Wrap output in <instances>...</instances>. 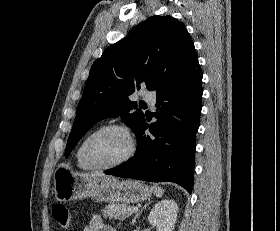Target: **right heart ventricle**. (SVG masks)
Instances as JSON below:
<instances>
[{
	"label": "right heart ventricle",
	"instance_id": "e07e8e85",
	"mask_svg": "<svg viewBox=\"0 0 280 231\" xmlns=\"http://www.w3.org/2000/svg\"><path fill=\"white\" fill-rule=\"evenodd\" d=\"M102 126V124H98L96 126H94L81 140L80 142L77 144L76 148H75V152H74V158H75V163L76 166L82 170V171H90L93 170L90 166H88L85 161L83 160L82 157V152H83V147L84 144L87 140V138L93 133L95 132L98 128H100Z\"/></svg>",
	"mask_w": 280,
	"mask_h": 231
}]
</instances>
